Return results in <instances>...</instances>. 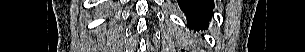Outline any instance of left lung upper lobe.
Listing matches in <instances>:
<instances>
[{"instance_id": "left-lung-upper-lobe-1", "label": "left lung upper lobe", "mask_w": 305, "mask_h": 52, "mask_svg": "<svg viewBox=\"0 0 305 52\" xmlns=\"http://www.w3.org/2000/svg\"><path fill=\"white\" fill-rule=\"evenodd\" d=\"M183 11L185 12L188 18L189 24L203 22L207 19L208 16L207 13L200 12L197 9H193V10L184 9Z\"/></svg>"}]
</instances>
